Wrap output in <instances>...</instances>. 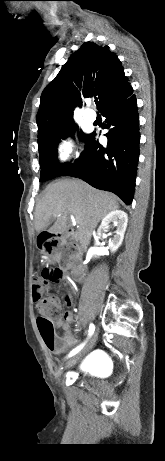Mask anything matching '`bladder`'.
Returning a JSON list of instances; mask_svg holds the SVG:
<instances>
[{"mask_svg": "<svg viewBox=\"0 0 165 461\" xmlns=\"http://www.w3.org/2000/svg\"><path fill=\"white\" fill-rule=\"evenodd\" d=\"M104 368L103 361L99 357L85 360L82 369L85 373H97Z\"/></svg>", "mask_w": 165, "mask_h": 461, "instance_id": "bladder-1", "label": "bladder"}]
</instances>
